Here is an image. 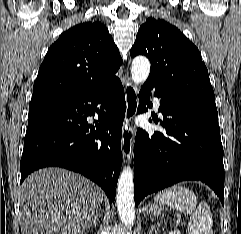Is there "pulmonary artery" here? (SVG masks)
Segmentation results:
<instances>
[{
  "label": "pulmonary artery",
  "mask_w": 241,
  "mask_h": 234,
  "mask_svg": "<svg viewBox=\"0 0 241 234\" xmlns=\"http://www.w3.org/2000/svg\"><path fill=\"white\" fill-rule=\"evenodd\" d=\"M153 105H154V108H155L156 110H159V108H160V100H159V98L154 97V99H153Z\"/></svg>",
  "instance_id": "1"
}]
</instances>
